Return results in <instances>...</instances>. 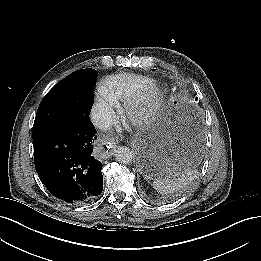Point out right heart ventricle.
Listing matches in <instances>:
<instances>
[{
  "label": "right heart ventricle",
  "mask_w": 261,
  "mask_h": 261,
  "mask_svg": "<svg viewBox=\"0 0 261 261\" xmlns=\"http://www.w3.org/2000/svg\"><path fill=\"white\" fill-rule=\"evenodd\" d=\"M131 77L127 75H118L108 79L103 88L111 96L115 103L122 101L126 94L130 92Z\"/></svg>",
  "instance_id": "right-heart-ventricle-1"
}]
</instances>
